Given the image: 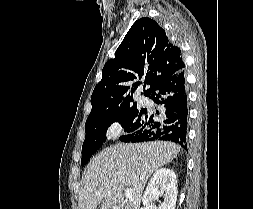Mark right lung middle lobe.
Here are the masks:
<instances>
[{
  "label": "right lung middle lobe",
  "mask_w": 253,
  "mask_h": 209,
  "mask_svg": "<svg viewBox=\"0 0 253 209\" xmlns=\"http://www.w3.org/2000/svg\"><path fill=\"white\" fill-rule=\"evenodd\" d=\"M137 105L123 110H116L88 117L85 124L86 137L82 146L81 165L84 166L91 156L106 140V130L113 122H120L127 134L120 137L124 140L141 128L148 116Z\"/></svg>",
  "instance_id": "dd1d6c3e"
}]
</instances>
